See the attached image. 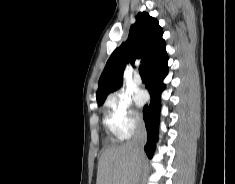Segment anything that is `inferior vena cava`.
Segmentation results:
<instances>
[{
	"label": "inferior vena cava",
	"mask_w": 235,
	"mask_h": 184,
	"mask_svg": "<svg viewBox=\"0 0 235 184\" xmlns=\"http://www.w3.org/2000/svg\"><path fill=\"white\" fill-rule=\"evenodd\" d=\"M147 134L146 128L143 120H137L135 124V132L132 138V142H130L131 146H133V152L139 156V154H144L143 148L146 144Z\"/></svg>",
	"instance_id": "602c4592"
}]
</instances>
